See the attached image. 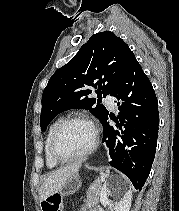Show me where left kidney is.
<instances>
[{"instance_id":"1","label":"left kidney","mask_w":179,"mask_h":211,"mask_svg":"<svg viewBox=\"0 0 179 211\" xmlns=\"http://www.w3.org/2000/svg\"><path fill=\"white\" fill-rule=\"evenodd\" d=\"M116 202H112L109 197L112 196V190H116ZM132 201V192L127 190L126 187H120L114 181L104 183L101 189L100 202L106 207L108 206L111 211H130Z\"/></svg>"}]
</instances>
